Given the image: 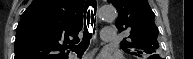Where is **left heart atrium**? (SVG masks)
<instances>
[{"label":"left heart atrium","instance_id":"39dd6f15","mask_svg":"<svg viewBox=\"0 0 193 59\" xmlns=\"http://www.w3.org/2000/svg\"><path fill=\"white\" fill-rule=\"evenodd\" d=\"M99 59H108V58H103V57H101V58H99Z\"/></svg>","mask_w":193,"mask_h":59}]
</instances>
